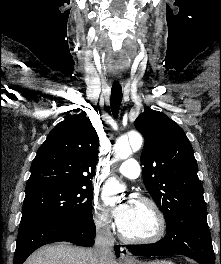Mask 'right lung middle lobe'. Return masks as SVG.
<instances>
[{"instance_id": "1", "label": "right lung middle lobe", "mask_w": 221, "mask_h": 264, "mask_svg": "<svg viewBox=\"0 0 221 264\" xmlns=\"http://www.w3.org/2000/svg\"><path fill=\"white\" fill-rule=\"evenodd\" d=\"M92 196L91 186L56 183L26 189L21 222L89 220Z\"/></svg>"}]
</instances>
